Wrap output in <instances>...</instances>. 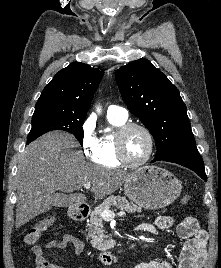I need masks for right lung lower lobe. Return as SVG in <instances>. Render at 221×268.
Masks as SVG:
<instances>
[{
	"instance_id": "98d812e1",
	"label": "right lung lower lobe",
	"mask_w": 221,
	"mask_h": 268,
	"mask_svg": "<svg viewBox=\"0 0 221 268\" xmlns=\"http://www.w3.org/2000/svg\"><path fill=\"white\" fill-rule=\"evenodd\" d=\"M31 142V140H28V143H30Z\"/></svg>"
}]
</instances>
